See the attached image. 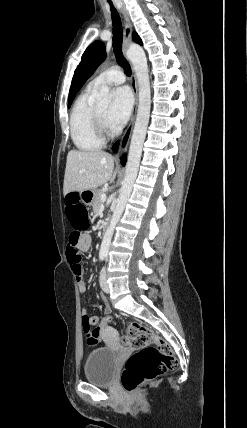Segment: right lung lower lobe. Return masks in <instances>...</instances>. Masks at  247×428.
I'll use <instances>...</instances> for the list:
<instances>
[{
  "label": "right lung lower lobe",
  "instance_id": "right-lung-lower-lobe-1",
  "mask_svg": "<svg viewBox=\"0 0 247 428\" xmlns=\"http://www.w3.org/2000/svg\"><path fill=\"white\" fill-rule=\"evenodd\" d=\"M117 149H118V144L114 145V151H115V152L117 151ZM121 161H122V164L124 165V164H125V161H126V156H125V155H123V156L121 157Z\"/></svg>",
  "mask_w": 247,
  "mask_h": 428
}]
</instances>
